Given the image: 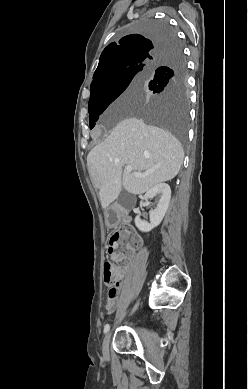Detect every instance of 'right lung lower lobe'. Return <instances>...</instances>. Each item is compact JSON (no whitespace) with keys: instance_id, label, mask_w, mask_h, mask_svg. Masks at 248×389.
Returning a JSON list of instances; mask_svg holds the SVG:
<instances>
[{"instance_id":"98d812e1","label":"right lung lower lobe","mask_w":248,"mask_h":389,"mask_svg":"<svg viewBox=\"0 0 248 389\" xmlns=\"http://www.w3.org/2000/svg\"><path fill=\"white\" fill-rule=\"evenodd\" d=\"M152 40H155V41L174 40L175 43L171 44V45L173 46V48H172L171 50L180 48L179 43L177 42L176 37H174V38H168V39H167V38H159V39H152ZM180 49H181V48H180ZM165 72H166V70L157 68V69L155 70L154 74H164Z\"/></svg>"}]
</instances>
